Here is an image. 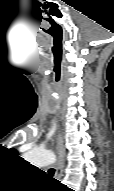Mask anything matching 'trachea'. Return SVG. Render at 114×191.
<instances>
[{
  "label": "trachea",
  "instance_id": "3493384b",
  "mask_svg": "<svg viewBox=\"0 0 114 191\" xmlns=\"http://www.w3.org/2000/svg\"><path fill=\"white\" fill-rule=\"evenodd\" d=\"M54 172H55V170H54L53 168L49 169V174H50V175H53Z\"/></svg>",
  "mask_w": 114,
  "mask_h": 191
}]
</instances>
